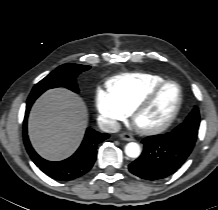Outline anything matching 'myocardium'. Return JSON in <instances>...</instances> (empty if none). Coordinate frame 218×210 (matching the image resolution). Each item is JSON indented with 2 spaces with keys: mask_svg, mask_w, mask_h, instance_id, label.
<instances>
[{
  "mask_svg": "<svg viewBox=\"0 0 218 210\" xmlns=\"http://www.w3.org/2000/svg\"><path fill=\"white\" fill-rule=\"evenodd\" d=\"M169 84L176 85L178 87V90H179V100H178V103H177L174 111L170 115V117L163 124L156 126V127H151V128L139 127L136 123L137 117L154 103V101L156 100L159 93ZM183 101H184V92H183V88L180 85V83H178L175 80H164L163 82H161L160 84H158L157 86L152 88L145 95V97L143 99H141L132 109L131 120H132V123H133L135 129L140 134L148 135V136L149 135H157V134H160V133L166 131L177 120V118L181 112L182 106H183Z\"/></svg>",
  "mask_w": 218,
  "mask_h": 210,
  "instance_id": "myocardium-1",
  "label": "myocardium"
}]
</instances>
